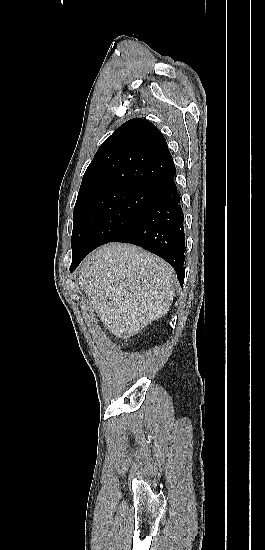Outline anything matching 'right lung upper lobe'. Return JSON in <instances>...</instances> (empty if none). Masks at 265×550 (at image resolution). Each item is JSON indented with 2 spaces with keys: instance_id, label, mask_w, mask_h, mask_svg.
<instances>
[{
  "instance_id": "1",
  "label": "right lung upper lobe",
  "mask_w": 265,
  "mask_h": 550,
  "mask_svg": "<svg viewBox=\"0 0 265 550\" xmlns=\"http://www.w3.org/2000/svg\"><path fill=\"white\" fill-rule=\"evenodd\" d=\"M175 169L165 138L151 122L122 124L98 149L83 176L77 201L110 190L160 185Z\"/></svg>"
}]
</instances>
